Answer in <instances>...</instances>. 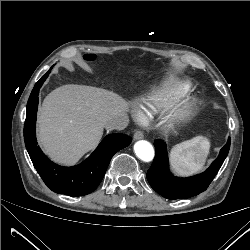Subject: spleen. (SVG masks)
<instances>
[{"label": "spleen", "instance_id": "1", "mask_svg": "<svg viewBox=\"0 0 250 250\" xmlns=\"http://www.w3.org/2000/svg\"><path fill=\"white\" fill-rule=\"evenodd\" d=\"M209 148V141L202 136L174 146L170 152L173 168L177 173L184 175L200 171L206 161Z\"/></svg>", "mask_w": 250, "mask_h": 250}]
</instances>
